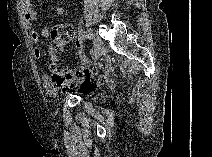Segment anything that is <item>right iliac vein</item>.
<instances>
[{"label": "right iliac vein", "mask_w": 212, "mask_h": 157, "mask_svg": "<svg viewBox=\"0 0 212 157\" xmlns=\"http://www.w3.org/2000/svg\"><path fill=\"white\" fill-rule=\"evenodd\" d=\"M92 36L94 47H95V58L98 59L102 53V41L101 39L95 35L92 31L89 32Z\"/></svg>", "instance_id": "obj_1"}]
</instances>
